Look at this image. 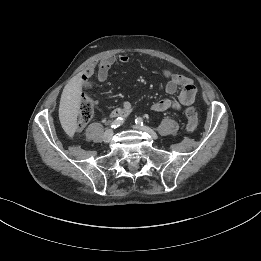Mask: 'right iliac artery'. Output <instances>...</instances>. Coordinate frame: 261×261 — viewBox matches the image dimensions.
<instances>
[{
  "label": "right iliac artery",
  "instance_id": "obj_1",
  "mask_svg": "<svg viewBox=\"0 0 261 261\" xmlns=\"http://www.w3.org/2000/svg\"><path fill=\"white\" fill-rule=\"evenodd\" d=\"M124 123V119L119 117L111 123V128H117Z\"/></svg>",
  "mask_w": 261,
  "mask_h": 261
}]
</instances>
